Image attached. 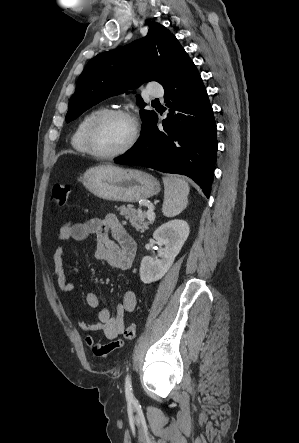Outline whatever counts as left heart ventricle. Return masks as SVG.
Listing matches in <instances>:
<instances>
[{
  "mask_svg": "<svg viewBox=\"0 0 299 443\" xmlns=\"http://www.w3.org/2000/svg\"><path fill=\"white\" fill-rule=\"evenodd\" d=\"M132 135V123L120 116L108 117L94 134L95 148L101 153H112L123 148Z\"/></svg>",
  "mask_w": 299,
  "mask_h": 443,
  "instance_id": "1",
  "label": "left heart ventricle"
}]
</instances>
